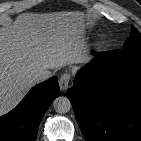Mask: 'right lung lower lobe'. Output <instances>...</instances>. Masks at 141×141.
<instances>
[{"instance_id": "right-lung-lower-lobe-1", "label": "right lung lower lobe", "mask_w": 141, "mask_h": 141, "mask_svg": "<svg viewBox=\"0 0 141 141\" xmlns=\"http://www.w3.org/2000/svg\"><path fill=\"white\" fill-rule=\"evenodd\" d=\"M59 95L57 77L32 88L15 109L0 117V141H34L45 112Z\"/></svg>"}]
</instances>
